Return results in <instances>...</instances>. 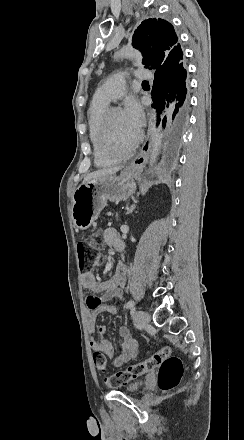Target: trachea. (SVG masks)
Instances as JSON below:
<instances>
[{"mask_svg": "<svg viewBox=\"0 0 244 440\" xmlns=\"http://www.w3.org/2000/svg\"><path fill=\"white\" fill-rule=\"evenodd\" d=\"M143 83H148V82H146V80H144V82Z\"/></svg>", "mask_w": 244, "mask_h": 440, "instance_id": "1", "label": "trachea"}]
</instances>
